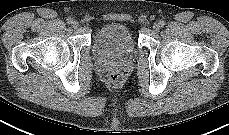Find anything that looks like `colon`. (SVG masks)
Here are the masks:
<instances>
[{"label": "colon", "instance_id": "colon-1", "mask_svg": "<svg viewBox=\"0 0 229 135\" xmlns=\"http://www.w3.org/2000/svg\"><path fill=\"white\" fill-rule=\"evenodd\" d=\"M108 81L113 85H118L121 82V75L116 71H112L108 74Z\"/></svg>", "mask_w": 229, "mask_h": 135}]
</instances>
